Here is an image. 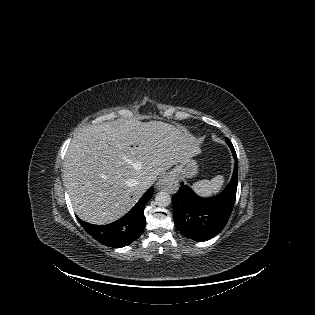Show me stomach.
I'll return each mask as SVG.
<instances>
[{
  "instance_id": "obj_1",
  "label": "stomach",
  "mask_w": 315,
  "mask_h": 315,
  "mask_svg": "<svg viewBox=\"0 0 315 315\" xmlns=\"http://www.w3.org/2000/svg\"><path fill=\"white\" fill-rule=\"evenodd\" d=\"M198 172V165L193 159H189L185 163H180L170 172V174L176 179L192 178Z\"/></svg>"
}]
</instances>
